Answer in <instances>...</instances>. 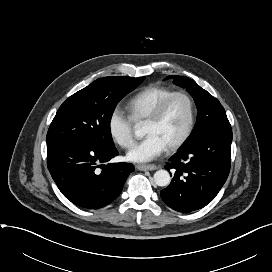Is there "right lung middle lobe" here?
I'll use <instances>...</instances> for the list:
<instances>
[{"mask_svg": "<svg viewBox=\"0 0 272 272\" xmlns=\"http://www.w3.org/2000/svg\"><path fill=\"white\" fill-rule=\"evenodd\" d=\"M145 77H104L69 97L58 109L47 133V150L68 143L114 148L110 120L117 103Z\"/></svg>", "mask_w": 272, "mask_h": 272, "instance_id": "1", "label": "right lung middle lobe"}]
</instances>
